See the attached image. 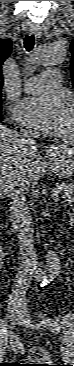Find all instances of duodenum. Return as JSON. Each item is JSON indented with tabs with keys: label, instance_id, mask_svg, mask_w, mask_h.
<instances>
[{
	"label": "duodenum",
	"instance_id": "obj_1",
	"mask_svg": "<svg viewBox=\"0 0 74 366\" xmlns=\"http://www.w3.org/2000/svg\"><path fill=\"white\" fill-rule=\"evenodd\" d=\"M38 277H39V279H44V278H45V275H43V274H41V273H40V274L38 275Z\"/></svg>",
	"mask_w": 74,
	"mask_h": 366
}]
</instances>
